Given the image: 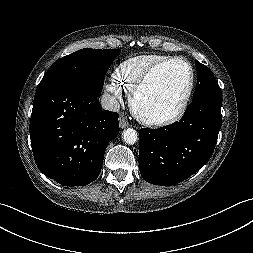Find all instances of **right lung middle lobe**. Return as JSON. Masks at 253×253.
Listing matches in <instances>:
<instances>
[{
    "instance_id": "1",
    "label": "right lung middle lobe",
    "mask_w": 253,
    "mask_h": 253,
    "mask_svg": "<svg viewBox=\"0 0 253 253\" xmlns=\"http://www.w3.org/2000/svg\"><path fill=\"white\" fill-rule=\"evenodd\" d=\"M119 49H81L57 60L42 78L39 86L53 81H74L103 88L105 74Z\"/></svg>"
}]
</instances>
